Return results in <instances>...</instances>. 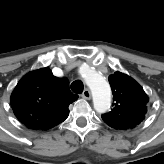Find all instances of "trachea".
Returning <instances> with one entry per match:
<instances>
[{"label":"trachea","mask_w":164,"mask_h":164,"mask_svg":"<svg viewBox=\"0 0 164 164\" xmlns=\"http://www.w3.org/2000/svg\"><path fill=\"white\" fill-rule=\"evenodd\" d=\"M71 89L73 92L81 93L83 91V83L80 80L74 81L71 84Z\"/></svg>","instance_id":"obj_1"}]
</instances>
